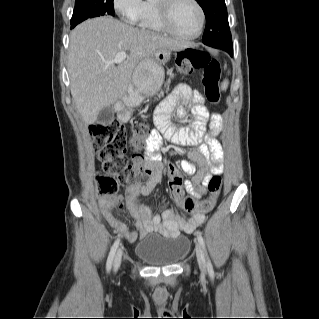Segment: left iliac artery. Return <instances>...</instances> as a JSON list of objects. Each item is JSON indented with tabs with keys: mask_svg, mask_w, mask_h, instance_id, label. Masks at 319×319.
Segmentation results:
<instances>
[{
	"mask_svg": "<svg viewBox=\"0 0 319 319\" xmlns=\"http://www.w3.org/2000/svg\"><path fill=\"white\" fill-rule=\"evenodd\" d=\"M197 238H198V242L200 243V245L202 246V248L204 249V251L206 253L205 242H204L203 237L200 234H197ZM207 268H208L209 274L213 275L214 274V270H213V266H212L210 260H208Z\"/></svg>",
	"mask_w": 319,
	"mask_h": 319,
	"instance_id": "left-iliac-artery-1",
	"label": "left iliac artery"
}]
</instances>
